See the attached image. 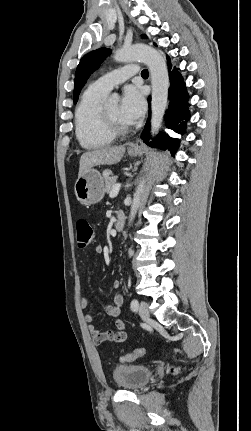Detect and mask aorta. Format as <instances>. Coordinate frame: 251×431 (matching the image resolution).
Wrapping results in <instances>:
<instances>
[{"mask_svg": "<svg viewBox=\"0 0 251 431\" xmlns=\"http://www.w3.org/2000/svg\"><path fill=\"white\" fill-rule=\"evenodd\" d=\"M114 59L118 62L139 60L148 66L152 80L150 132L152 137L155 136L161 127L168 100L169 76L165 59L156 49L147 45L121 48L115 52ZM144 187L145 181L142 180L133 196L129 223L133 221L140 207Z\"/></svg>", "mask_w": 251, "mask_h": 431, "instance_id": "762f6f07", "label": "aorta"}]
</instances>
